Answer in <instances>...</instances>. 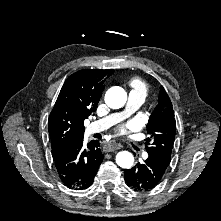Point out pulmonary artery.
<instances>
[{"instance_id": "obj_1", "label": "pulmonary artery", "mask_w": 221, "mask_h": 221, "mask_svg": "<svg viewBox=\"0 0 221 221\" xmlns=\"http://www.w3.org/2000/svg\"><path fill=\"white\" fill-rule=\"evenodd\" d=\"M144 100L145 97L143 94L133 91L130 92L127 107L124 112L114 113L91 123L88 127V132L95 133L106 130L107 128L119 122L123 117L138 109L144 103Z\"/></svg>"}]
</instances>
